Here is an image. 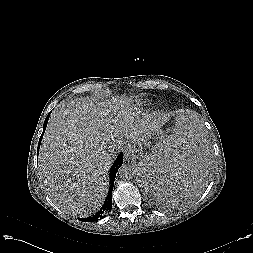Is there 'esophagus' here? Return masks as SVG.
<instances>
[{
	"mask_svg": "<svg viewBox=\"0 0 253 253\" xmlns=\"http://www.w3.org/2000/svg\"><path fill=\"white\" fill-rule=\"evenodd\" d=\"M135 151V148L132 144H127L125 147H124V156L126 159H130L131 156L133 155Z\"/></svg>",
	"mask_w": 253,
	"mask_h": 253,
	"instance_id": "1",
	"label": "esophagus"
}]
</instances>
